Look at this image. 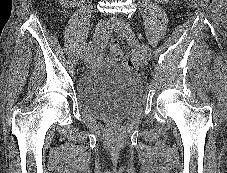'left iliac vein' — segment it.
Returning a JSON list of instances; mask_svg holds the SVG:
<instances>
[{
  "instance_id": "4c4485c4",
  "label": "left iliac vein",
  "mask_w": 227,
  "mask_h": 173,
  "mask_svg": "<svg viewBox=\"0 0 227 173\" xmlns=\"http://www.w3.org/2000/svg\"><path fill=\"white\" fill-rule=\"evenodd\" d=\"M108 25L111 29H114L123 39H125V41L129 45L139 50L141 63L143 65H147L150 57L140 46V43L135 33L131 30H127L124 22L117 18H111L110 21L108 22Z\"/></svg>"
}]
</instances>
